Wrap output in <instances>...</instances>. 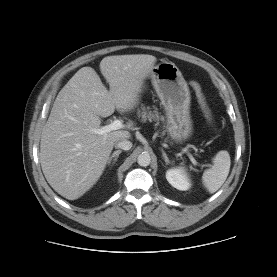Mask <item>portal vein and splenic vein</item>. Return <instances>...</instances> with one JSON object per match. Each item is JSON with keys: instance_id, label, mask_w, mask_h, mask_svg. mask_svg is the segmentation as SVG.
Instances as JSON below:
<instances>
[{"instance_id": "portal-vein-and-splenic-vein-1", "label": "portal vein and splenic vein", "mask_w": 277, "mask_h": 277, "mask_svg": "<svg viewBox=\"0 0 277 277\" xmlns=\"http://www.w3.org/2000/svg\"><path fill=\"white\" fill-rule=\"evenodd\" d=\"M121 128H123L122 122L118 119H115L110 124L105 125V126L99 128V129H93L92 131L96 134L104 135L106 133H109L111 131L118 130V129H121ZM186 152H187V155H188L189 159L191 160V162L194 165H197L198 162L195 160V158L192 156V154L189 153L188 151H186Z\"/></svg>"}]
</instances>
